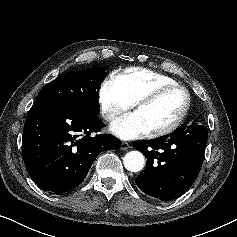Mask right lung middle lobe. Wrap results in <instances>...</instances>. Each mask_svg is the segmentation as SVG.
<instances>
[{
    "label": "right lung middle lobe",
    "instance_id": "right-lung-middle-lobe-1",
    "mask_svg": "<svg viewBox=\"0 0 237 237\" xmlns=\"http://www.w3.org/2000/svg\"><path fill=\"white\" fill-rule=\"evenodd\" d=\"M105 75V67L64 73L48 83L41 90L36 101L56 102L82 114L97 116L98 90Z\"/></svg>",
    "mask_w": 237,
    "mask_h": 237
}]
</instances>
